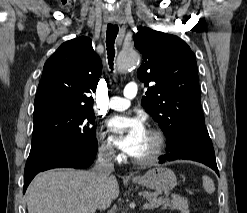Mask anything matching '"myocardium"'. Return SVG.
<instances>
[{
  "label": "myocardium",
  "instance_id": "1",
  "mask_svg": "<svg viewBox=\"0 0 247 213\" xmlns=\"http://www.w3.org/2000/svg\"><path fill=\"white\" fill-rule=\"evenodd\" d=\"M147 132L155 138V148L153 152L145 158L132 157V160L139 165H152L156 163L162 157L166 149V138L161 130L150 128Z\"/></svg>",
  "mask_w": 247,
  "mask_h": 213
}]
</instances>
